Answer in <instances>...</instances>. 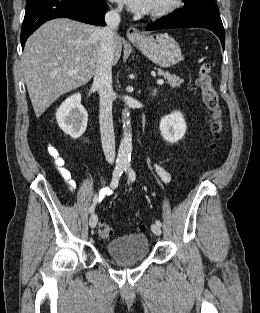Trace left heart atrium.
<instances>
[{"mask_svg": "<svg viewBox=\"0 0 260 313\" xmlns=\"http://www.w3.org/2000/svg\"><path fill=\"white\" fill-rule=\"evenodd\" d=\"M127 6V8L136 13L150 11L153 0H114Z\"/></svg>", "mask_w": 260, "mask_h": 313, "instance_id": "obj_1", "label": "left heart atrium"}]
</instances>
